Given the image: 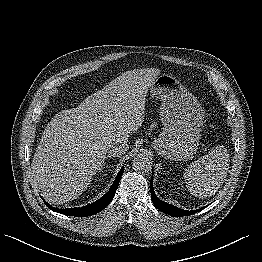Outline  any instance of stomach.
<instances>
[{"label":"stomach","mask_w":262,"mask_h":262,"mask_svg":"<svg viewBox=\"0 0 262 262\" xmlns=\"http://www.w3.org/2000/svg\"><path fill=\"white\" fill-rule=\"evenodd\" d=\"M151 94L161 100L163 131L153 147L164 159L183 161L197 151L204 112L198 99L181 82L169 74L158 76Z\"/></svg>","instance_id":"stomach-1"}]
</instances>
